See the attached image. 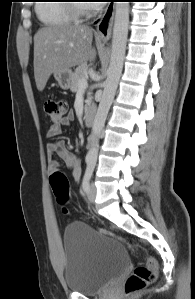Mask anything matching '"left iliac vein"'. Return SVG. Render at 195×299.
I'll return each instance as SVG.
<instances>
[{"label":"left iliac vein","mask_w":195,"mask_h":299,"mask_svg":"<svg viewBox=\"0 0 195 299\" xmlns=\"http://www.w3.org/2000/svg\"><path fill=\"white\" fill-rule=\"evenodd\" d=\"M96 195H97V188L94 184H91L89 186V190L87 192V197H88V200L91 202V203H94L95 199H96Z\"/></svg>","instance_id":"4c4485c4"}]
</instances>
